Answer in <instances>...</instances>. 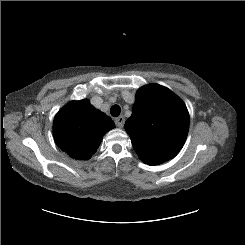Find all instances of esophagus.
<instances>
[{"mask_svg": "<svg viewBox=\"0 0 245 245\" xmlns=\"http://www.w3.org/2000/svg\"><path fill=\"white\" fill-rule=\"evenodd\" d=\"M115 123L119 128H122L124 126L125 123V119L124 116H119L115 119Z\"/></svg>", "mask_w": 245, "mask_h": 245, "instance_id": "esophagus-1", "label": "esophagus"}]
</instances>
